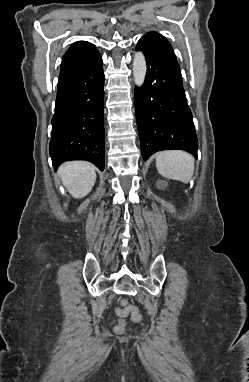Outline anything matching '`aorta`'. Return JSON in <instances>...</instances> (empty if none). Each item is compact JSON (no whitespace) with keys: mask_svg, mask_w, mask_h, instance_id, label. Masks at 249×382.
<instances>
[{"mask_svg":"<svg viewBox=\"0 0 249 382\" xmlns=\"http://www.w3.org/2000/svg\"><path fill=\"white\" fill-rule=\"evenodd\" d=\"M147 72L146 59L143 52L138 51L133 59V78L136 86L141 87L144 84Z\"/></svg>","mask_w":249,"mask_h":382,"instance_id":"aorta-1","label":"aorta"}]
</instances>
